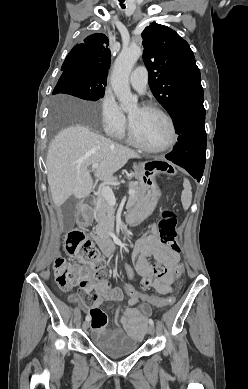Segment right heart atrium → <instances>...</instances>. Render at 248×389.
Wrapping results in <instances>:
<instances>
[{
  "instance_id": "obj_1",
  "label": "right heart atrium",
  "mask_w": 248,
  "mask_h": 389,
  "mask_svg": "<svg viewBox=\"0 0 248 389\" xmlns=\"http://www.w3.org/2000/svg\"><path fill=\"white\" fill-rule=\"evenodd\" d=\"M101 121L104 131L111 136H121L127 126L126 116L109 92L101 100Z\"/></svg>"
}]
</instances>
